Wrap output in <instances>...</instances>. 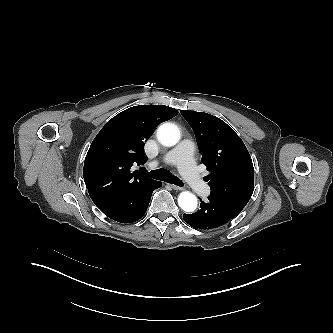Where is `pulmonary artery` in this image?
I'll list each match as a JSON object with an SVG mask.
<instances>
[{"mask_svg":"<svg viewBox=\"0 0 333 333\" xmlns=\"http://www.w3.org/2000/svg\"><path fill=\"white\" fill-rule=\"evenodd\" d=\"M194 145L189 140H183L164 156V162L178 167L181 175L189 186L199 195H207L209 187L202 180L193 158Z\"/></svg>","mask_w":333,"mask_h":333,"instance_id":"e3ab8cb5","label":"pulmonary artery"}]
</instances>
